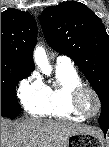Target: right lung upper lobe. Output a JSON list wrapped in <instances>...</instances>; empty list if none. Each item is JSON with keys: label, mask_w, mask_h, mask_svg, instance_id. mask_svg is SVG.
Segmentation results:
<instances>
[{"label": "right lung upper lobe", "mask_w": 109, "mask_h": 147, "mask_svg": "<svg viewBox=\"0 0 109 147\" xmlns=\"http://www.w3.org/2000/svg\"><path fill=\"white\" fill-rule=\"evenodd\" d=\"M36 39L37 24L29 12L7 9L1 13V59L33 71Z\"/></svg>", "instance_id": "obj_1"}]
</instances>
